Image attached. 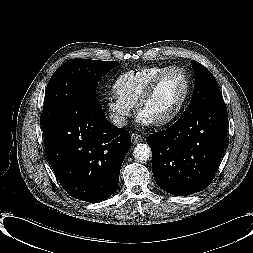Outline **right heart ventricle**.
Here are the masks:
<instances>
[{
	"mask_svg": "<svg viewBox=\"0 0 253 253\" xmlns=\"http://www.w3.org/2000/svg\"><path fill=\"white\" fill-rule=\"evenodd\" d=\"M169 67L151 66L125 72L116 79L114 91L119 98L134 106L149 83Z\"/></svg>",
	"mask_w": 253,
	"mask_h": 253,
	"instance_id": "obj_1",
	"label": "right heart ventricle"
}]
</instances>
